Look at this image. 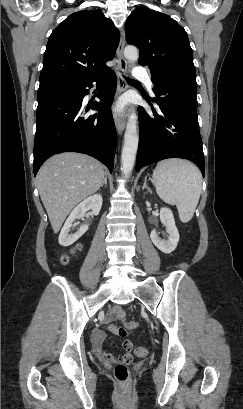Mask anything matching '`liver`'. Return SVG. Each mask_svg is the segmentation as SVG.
Instances as JSON below:
<instances>
[{
  "mask_svg": "<svg viewBox=\"0 0 243 409\" xmlns=\"http://www.w3.org/2000/svg\"><path fill=\"white\" fill-rule=\"evenodd\" d=\"M104 176L98 160L80 153L54 155L42 165L37 186L54 233L77 204L97 192Z\"/></svg>",
  "mask_w": 243,
  "mask_h": 409,
  "instance_id": "liver-1",
  "label": "liver"
}]
</instances>
